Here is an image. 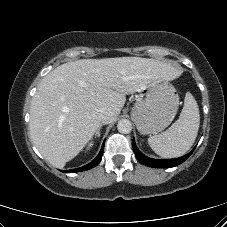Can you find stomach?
<instances>
[{
  "label": "stomach",
  "instance_id": "stomach-1",
  "mask_svg": "<svg viewBox=\"0 0 227 227\" xmlns=\"http://www.w3.org/2000/svg\"><path fill=\"white\" fill-rule=\"evenodd\" d=\"M178 105L174 86L166 80H154L138 90L131 117L141 134H156L173 121Z\"/></svg>",
  "mask_w": 227,
  "mask_h": 227
}]
</instances>
